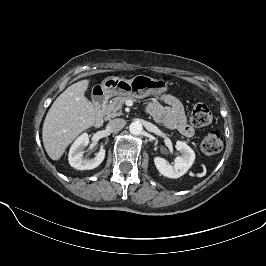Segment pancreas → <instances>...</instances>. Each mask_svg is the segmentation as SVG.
I'll return each instance as SVG.
<instances>
[{
    "label": "pancreas",
    "mask_w": 266,
    "mask_h": 266,
    "mask_svg": "<svg viewBox=\"0 0 266 266\" xmlns=\"http://www.w3.org/2000/svg\"><path fill=\"white\" fill-rule=\"evenodd\" d=\"M128 100L135 101L132 96H118L110 100L108 104L104 105V107L102 108L104 115H106V118L110 119L116 116H121L122 106Z\"/></svg>",
    "instance_id": "pancreas-1"
}]
</instances>
